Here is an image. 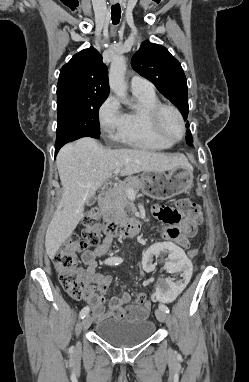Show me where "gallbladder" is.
Masks as SVG:
<instances>
[{"label": "gallbladder", "instance_id": "bac80fb5", "mask_svg": "<svg viewBox=\"0 0 249 382\" xmlns=\"http://www.w3.org/2000/svg\"><path fill=\"white\" fill-rule=\"evenodd\" d=\"M96 200H97L96 197H91V198H89V199L87 200V202H86V206H87V207H91L92 205L95 204Z\"/></svg>", "mask_w": 249, "mask_h": 382}]
</instances>
